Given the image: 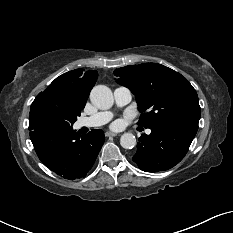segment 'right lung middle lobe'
<instances>
[{
    "label": "right lung middle lobe",
    "mask_w": 233,
    "mask_h": 233,
    "mask_svg": "<svg viewBox=\"0 0 233 233\" xmlns=\"http://www.w3.org/2000/svg\"><path fill=\"white\" fill-rule=\"evenodd\" d=\"M80 113L81 109L75 108L55 96H42L35 99L31 105L29 128L69 129L80 116Z\"/></svg>",
    "instance_id": "dd1d6c3e"
}]
</instances>
